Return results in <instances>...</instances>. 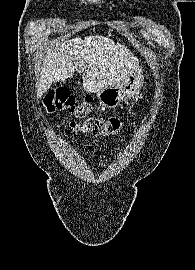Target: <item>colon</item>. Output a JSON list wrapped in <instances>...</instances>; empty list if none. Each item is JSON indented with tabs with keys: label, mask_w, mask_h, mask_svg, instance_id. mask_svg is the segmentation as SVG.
Here are the masks:
<instances>
[{
	"label": "colon",
	"mask_w": 195,
	"mask_h": 270,
	"mask_svg": "<svg viewBox=\"0 0 195 270\" xmlns=\"http://www.w3.org/2000/svg\"><path fill=\"white\" fill-rule=\"evenodd\" d=\"M44 107L49 113L57 110H68L74 117L85 119L83 122L71 123V128L74 131L108 136L117 133L122 127V120L117 116L87 118L93 110L92 98L88 96L76 103L74 96L67 89H57L48 93L44 99Z\"/></svg>",
	"instance_id": "obj_1"
}]
</instances>
